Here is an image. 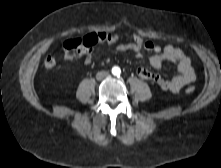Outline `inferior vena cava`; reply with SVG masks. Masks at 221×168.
<instances>
[{"instance_id":"1","label":"inferior vena cava","mask_w":221,"mask_h":168,"mask_svg":"<svg viewBox=\"0 0 221 168\" xmlns=\"http://www.w3.org/2000/svg\"><path fill=\"white\" fill-rule=\"evenodd\" d=\"M108 76H109V72H107V71H100L96 74L97 80H102Z\"/></svg>"}]
</instances>
